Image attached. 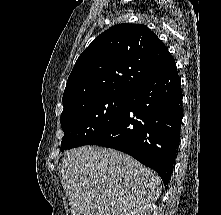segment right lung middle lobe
Segmentation results:
<instances>
[{"instance_id": "right-lung-middle-lobe-1", "label": "right lung middle lobe", "mask_w": 221, "mask_h": 215, "mask_svg": "<svg viewBox=\"0 0 221 215\" xmlns=\"http://www.w3.org/2000/svg\"><path fill=\"white\" fill-rule=\"evenodd\" d=\"M128 94H105L66 106L61 114L64 137L61 151L91 144L106 133L122 114Z\"/></svg>"}]
</instances>
